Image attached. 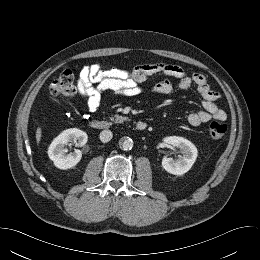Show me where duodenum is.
Listing matches in <instances>:
<instances>
[{
    "label": "duodenum",
    "instance_id": "1",
    "mask_svg": "<svg viewBox=\"0 0 260 260\" xmlns=\"http://www.w3.org/2000/svg\"><path fill=\"white\" fill-rule=\"evenodd\" d=\"M90 125L95 130H105L111 128L112 126L110 122L100 119H93L90 122ZM135 127L138 131H144L147 127V124L143 121H139L136 123Z\"/></svg>",
    "mask_w": 260,
    "mask_h": 260
}]
</instances>
